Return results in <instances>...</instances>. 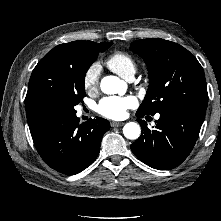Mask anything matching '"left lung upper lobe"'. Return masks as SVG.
Instances as JSON below:
<instances>
[{
  "label": "left lung upper lobe",
  "instance_id": "obj_1",
  "mask_svg": "<svg viewBox=\"0 0 221 221\" xmlns=\"http://www.w3.org/2000/svg\"><path fill=\"white\" fill-rule=\"evenodd\" d=\"M130 50L144 59L149 72V88L137 112L154 115L177 105L206 109L204 71L188 50L160 38L136 40Z\"/></svg>",
  "mask_w": 221,
  "mask_h": 221
}]
</instances>
